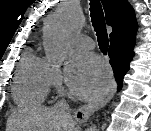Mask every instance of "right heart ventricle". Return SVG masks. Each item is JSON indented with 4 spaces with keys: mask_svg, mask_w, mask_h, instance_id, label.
<instances>
[{
    "mask_svg": "<svg viewBox=\"0 0 151 131\" xmlns=\"http://www.w3.org/2000/svg\"><path fill=\"white\" fill-rule=\"evenodd\" d=\"M49 87V64L33 51L25 52L12 89L15 102L20 106H38L44 101Z\"/></svg>",
    "mask_w": 151,
    "mask_h": 131,
    "instance_id": "right-heart-ventricle-1",
    "label": "right heart ventricle"
}]
</instances>
